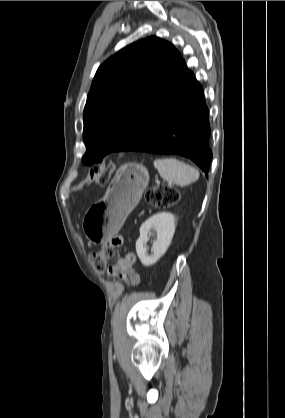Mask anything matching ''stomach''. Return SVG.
<instances>
[{
	"label": "stomach",
	"instance_id": "obj_1",
	"mask_svg": "<svg viewBox=\"0 0 285 418\" xmlns=\"http://www.w3.org/2000/svg\"><path fill=\"white\" fill-rule=\"evenodd\" d=\"M149 183L148 170L138 163H126L116 172L102 200L83 219V230L91 242H104L114 236L129 213L139 203Z\"/></svg>",
	"mask_w": 285,
	"mask_h": 418
}]
</instances>
